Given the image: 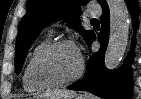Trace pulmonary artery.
<instances>
[{"label":"pulmonary artery","mask_w":141,"mask_h":99,"mask_svg":"<svg viewBox=\"0 0 141 99\" xmlns=\"http://www.w3.org/2000/svg\"><path fill=\"white\" fill-rule=\"evenodd\" d=\"M88 12L93 15V16H97L100 14V10L97 8V7H93L91 6L89 9H88Z\"/></svg>","instance_id":"obj_1"}]
</instances>
